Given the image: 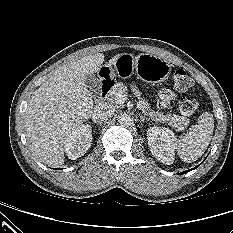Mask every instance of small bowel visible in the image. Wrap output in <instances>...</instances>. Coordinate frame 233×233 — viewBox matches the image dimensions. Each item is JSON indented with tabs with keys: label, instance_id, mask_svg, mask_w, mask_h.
I'll list each match as a JSON object with an SVG mask.
<instances>
[{
	"label": "small bowel",
	"instance_id": "small-bowel-1",
	"mask_svg": "<svg viewBox=\"0 0 233 233\" xmlns=\"http://www.w3.org/2000/svg\"><path fill=\"white\" fill-rule=\"evenodd\" d=\"M175 98L176 94L169 89H164L159 92V99L163 107H167Z\"/></svg>",
	"mask_w": 233,
	"mask_h": 233
}]
</instances>
